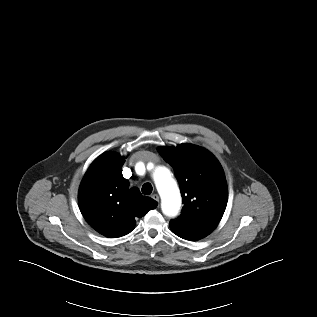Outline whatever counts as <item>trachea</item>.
Masks as SVG:
<instances>
[{
  "label": "trachea",
  "mask_w": 317,
  "mask_h": 317,
  "mask_svg": "<svg viewBox=\"0 0 317 317\" xmlns=\"http://www.w3.org/2000/svg\"><path fill=\"white\" fill-rule=\"evenodd\" d=\"M152 190H153V187H152V185L150 183H145L142 186V193L145 194V195L151 194Z\"/></svg>",
  "instance_id": "1"
}]
</instances>
